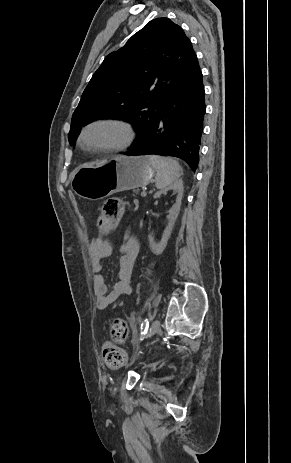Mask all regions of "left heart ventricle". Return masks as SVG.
<instances>
[{
	"mask_svg": "<svg viewBox=\"0 0 291 463\" xmlns=\"http://www.w3.org/2000/svg\"><path fill=\"white\" fill-rule=\"evenodd\" d=\"M120 137L121 133L117 128L101 126L89 132L87 141L90 143H111L119 140Z\"/></svg>",
	"mask_w": 291,
	"mask_h": 463,
	"instance_id": "1",
	"label": "left heart ventricle"
}]
</instances>
